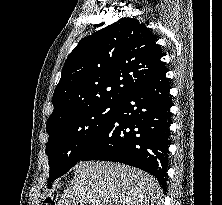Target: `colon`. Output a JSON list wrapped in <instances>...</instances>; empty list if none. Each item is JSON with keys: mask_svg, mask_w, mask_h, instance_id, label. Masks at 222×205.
I'll return each mask as SVG.
<instances>
[{"mask_svg": "<svg viewBox=\"0 0 222 205\" xmlns=\"http://www.w3.org/2000/svg\"><path fill=\"white\" fill-rule=\"evenodd\" d=\"M42 205H55L53 199H47Z\"/></svg>", "mask_w": 222, "mask_h": 205, "instance_id": "1", "label": "colon"}]
</instances>
